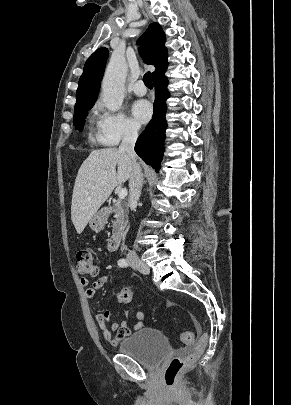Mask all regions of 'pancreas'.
I'll return each instance as SVG.
<instances>
[{
	"label": "pancreas",
	"mask_w": 291,
	"mask_h": 405,
	"mask_svg": "<svg viewBox=\"0 0 291 405\" xmlns=\"http://www.w3.org/2000/svg\"><path fill=\"white\" fill-rule=\"evenodd\" d=\"M111 211L114 213L115 218L113 222V233H115L125 228L128 216L121 200H117L114 202Z\"/></svg>",
	"instance_id": "obj_1"
}]
</instances>
